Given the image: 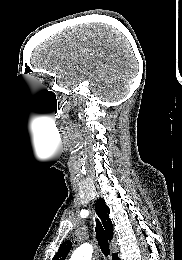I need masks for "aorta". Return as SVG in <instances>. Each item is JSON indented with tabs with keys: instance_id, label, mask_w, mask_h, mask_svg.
Instances as JSON below:
<instances>
[{
	"instance_id": "aorta-1",
	"label": "aorta",
	"mask_w": 182,
	"mask_h": 260,
	"mask_svg": "<svg viewBox=\"0 0 182 260\" xmlns=\"http://www.w3.org/2000/svg\"><path fill=\"white\" fill-rule=\"evenodd\" d=\"M92 253H93L92 245L85 243L73 252L70 260H91Z\"/></svg>"
}]
</instances>
